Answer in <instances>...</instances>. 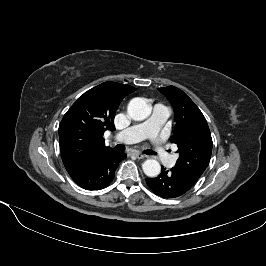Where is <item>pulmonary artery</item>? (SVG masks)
I'll list each match as a JSON object with an SVG mask.
<instances>
[{
  "label": "pulmonary artery",
  "mask_w": 266,
  "mask_h": 266,
  "mask_svg": "<svg viewBox=\"0 0 266 266\" xmlns=\"http://www.w3.org/2000/svg\"><path fill=\"white\" fill-rule=\"evenodd\" d=\"M168 116V109L161 104H157L153 107L152 114L146 122L119 132L115 135V140L121 143L131 144L146 137H155L159 128L166 121ZM153 150L165 165H174L175 157L168 154L159 143L153 145Z\"/></svg>",
  "instance_id": "1"
}]
</instances>
